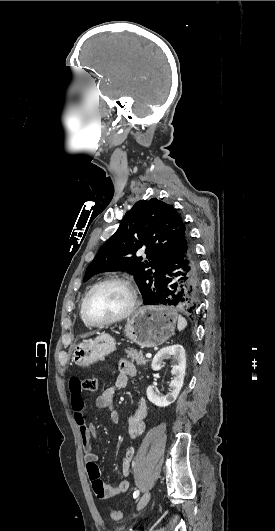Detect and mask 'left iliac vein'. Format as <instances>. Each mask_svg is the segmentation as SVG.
<instances>
[{
	"mask_svg": "<svg viewBox=\"0 0 275 531\" xmlns=\"http://www.w3.org/2000/svg\"><path fill=\"white\" fill-rule=\"evenodd\" d=\"M150 498H151V493L150 492H145L142 497L140 498L138 504H137V510H141L143 509L147 504L148 502L150 501Z\"/></svg>",
	"mask_w": 275,
	"mask_h": 531,
	"instance_id": "4c4485c4",
	"label": "left iliac vein"
}]
</instances>
